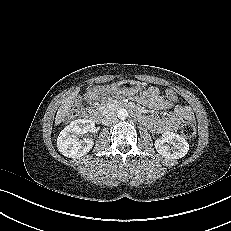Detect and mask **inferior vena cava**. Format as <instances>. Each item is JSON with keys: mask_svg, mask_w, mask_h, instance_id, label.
Listing matches in <instances>:
<instances>
[{"mask_svg": "<svg viewBox=\"0 0 231 231\" xmlns=\"http://www.w3.org/2000/svg\"><path fill=\"white\" fill-rule=\"evenodd\" d=\"M117 119V115L116 113L114 112H107L103 115V118H102V123L104 125H110L112 124L113 122H115Z\"/></svg>", "mask_w": 231, "mask_h": 231, "instance_id": "obj_1", "label": "inferior vena cava"}]
</instances>
